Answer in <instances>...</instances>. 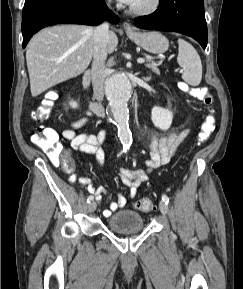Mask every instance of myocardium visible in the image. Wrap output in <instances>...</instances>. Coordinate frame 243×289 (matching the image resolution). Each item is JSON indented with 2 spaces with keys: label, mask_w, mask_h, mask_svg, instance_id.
Listing matches in <instances>:
<instances>
[{
  "label": "myocardium",
  "mask_w": 243,
  "mask_h": 289,
  "mask_svg": "<svg viewBox=\"0 0 243 289\" xmlns=\"http://www.w3.org/2000/svg\"><path fill=\"white\" fill-rule=\"evenodd\" d=\"M162 4L161 0H149L145 5L140 7L130 6V13L138 16H146L156 12Z\"/></svg>",
  "instance_id": "f54148a6"
}]
</instances>
